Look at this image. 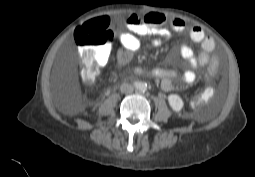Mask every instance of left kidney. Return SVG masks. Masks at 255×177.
Returning a JSON list of instances; mask_svg holds the SVG:
<instances>
[{
  "instance_id": "5707ae66",
  "label": "left kidney",
  "mask_w": 255,
  "mask_h": 177,
  "mask_svg": "<svg viewBox=\"0 0 255 177\" xmlns=\"http://www.w3.org/2000/svg\"><path fill=\"white\" fill-rule=\"evenodd\" d=\"M168 102L170 107L175 111V112H179L182 108H183V101L180 98V96L176 95V94H171L168 96Z\"/></svg>"
}]
</instances>
